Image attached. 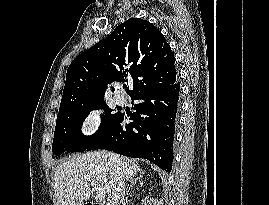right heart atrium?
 <instances>
[{
    "mask_svg": "<svg viewBox=\"0 0 269 205\" xmlns=\"http://www.w3.org/2000/svg\"><path fill=\"white\" fill-rule=\"evenodd\" d=\"M105 128V117L101 111L92 109L87 111L77 124V133L84 140L100 135Z\"/></svg>",
    "mask_w": 269,
    "mask_h": 205,
    "instance_id": "1",
    "label": "right heart atrium"
}]
</instances>
